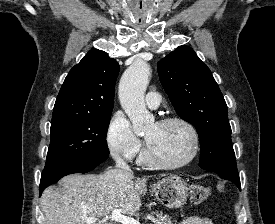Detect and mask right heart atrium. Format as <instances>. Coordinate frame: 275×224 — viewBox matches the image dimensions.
Wrapping results in <instances>:
<instances>
[{
    "label": "right heart atrium",
    "instance_id": "right-heart-atrium-1",
    "mask_svg": "<svg viewBox=\"0 0 275 224\" xmlns=\"http://www.w3.org/2000/svg\"><path fill=\"white\" fill-rule=\"evenodd\" d=\"M108 149L116 158L133 160L141 151V143L132 131L129 121L121 113H116L110 121L106 133Z\"/></svg>",
    "mask_w": 275,
    "mask_h": 224
}]
</instances>
